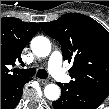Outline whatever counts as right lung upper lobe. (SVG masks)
Wrapping results in <instances>:
<instances>
[{
	"label": "right lung upper lobe",
	"mask_w": 109,
	"mask_h": 109,
	"mask_svg": "<svg viewBox=\"0 0 109 109\" xmlns=\"http://www.w3.org/2000/svg\"><path fill=\"white\" fill-rule=\"evenodd\" d=\"M37 23L22 22L17 18H1V87L24 76L10 74L7 65L22 62L21 52L38 32Z\"/></svg>",
	"instance_id": "right-lung-upper-lobe-1"
}]
</instances>
